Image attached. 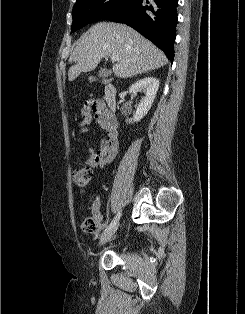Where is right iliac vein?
<instances>
[{"mask_svg":"<svg viewBox=\"0 0 245 314\" xmlns=\"http://www.w3.org/2000/svg\"><path fill=\"white\" fill-rule=\"evenodd\" d=\"M120 217H121V214L117 218L116 224L111 228V230H109L104 236H102V238L100 239L99 244H98L99 247L103 246L106 242H108L111 239V237L113 236V234L116 232V230L119 226Z\"/></svg>","mask_w":245,"mask_h":314,"instance_id":"obj_1","label":"right iliac vein"}]
</instances>
